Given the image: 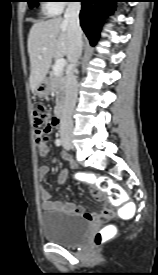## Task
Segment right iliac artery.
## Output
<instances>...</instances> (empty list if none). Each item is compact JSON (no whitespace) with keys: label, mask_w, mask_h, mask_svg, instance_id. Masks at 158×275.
Returning a JSON list of instances; mask_svg holds the SVG:
<instances>
[{"label":"right iliac artery","mask_w":158,"mask_h":275,"mask_svg":"<svg viewBox=\"0 0 158 275\" xmlns=\"http://www.w3.org/2000/svg\"><path fill=\"white\" fill-rule=\"evenodd\" d=\"M55 144H56L57 146H60V145L62 144L61 139H57V140L55 141Z\"/></svg>","instance_id":"right-iliac-artery-1"}]
</instances>
